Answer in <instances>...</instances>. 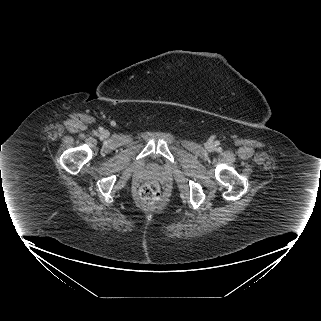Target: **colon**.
I'll use <instances>...</instances> for the list:
<instances>
[{"label":"colon","mask_w":321,"mask_h":321,"mask_svg":"<svg viewBox=\"0 0 321 321\" xmlns=\"http://www.w3.org/2000/svg\"><path fill=\"white\" fill-rule=\"evenodd\" d=\"M138 194L143 203L153 205L160 199V187L156 182H146L140 186Z\"/></svg>","instance_id":"1"}]
</instances>
